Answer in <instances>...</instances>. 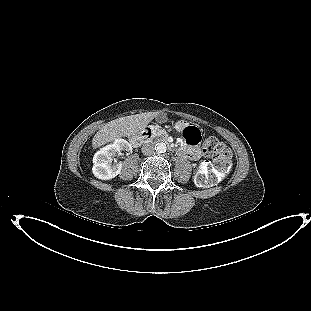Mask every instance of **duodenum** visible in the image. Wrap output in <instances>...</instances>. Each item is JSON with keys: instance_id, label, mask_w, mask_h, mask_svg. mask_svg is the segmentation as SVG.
Segmentation results:
<instances>
[{"instance_id": "obj_1", "label": "duodenum", "mask_w": 311, "mask_h": 311, "mask_svg": "<svg viewBox=\"0 0 311 311\" xmlns=\"http://www.w3.org/2000/svg\"><path fill=\"white\" fill-rule=\"evenodd\" d=\"M153 138H156L161 141H165L168 144L170 143L168 137L162 130L153 128V127H146L141 132V134L136 135L131 139V143L133 144V146L139 147L146 141H149Z\"/></svg>"}]
</instances>
